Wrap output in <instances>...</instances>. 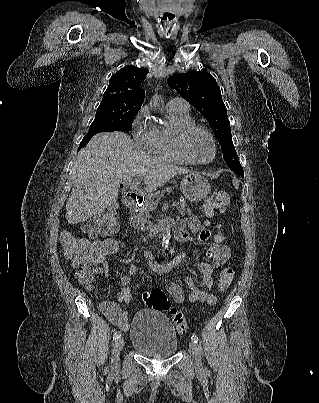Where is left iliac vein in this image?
Wrapping results in <instances>:
<instances>
[{
    "label": "left iliac vein",
    "mask_w": 319,
    "mask_h": 403,
    "mask_svg": "<svg viewBox=\"0 0 319 403\" xmlns=\"http://www.w3.org/2000/svg\"><path fill=\"white\" fill-rule=\"evenodd\" d=\"M189 348L194 356L195 368L199 371L202 368L200 348L193 340L189 343Z\"/></svg>",
    "instance_id": "obj_1"
}]
</instances>
